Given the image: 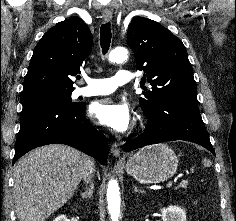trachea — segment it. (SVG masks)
Returning <instances> with one entry per match:
<instances>
[{"label":"trachea","instance_id":"1","mask_svg":"<svg viewBox=\"0 0 236 221\" xmlns=\"http://www.w3.org/2000/svg\"><path fill=\"white\" fill-rule=\"evenodd\" d=\"M111 36L110 23L103 24L100 28V44L103 54H106L110 47Z\"/></svg>","mask_w":236,"mask_h":221}]
</instances>
